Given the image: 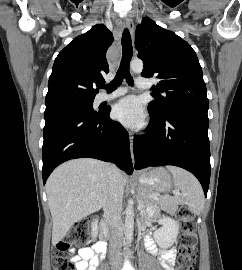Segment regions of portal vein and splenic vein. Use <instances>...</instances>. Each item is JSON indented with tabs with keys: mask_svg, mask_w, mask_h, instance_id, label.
<instances>
[{
	"mask_svg": "<svg viewBox=\"0 0 242 270\" xmlns=\"http://www.w3.org/2000/svg\"><path fill=\"white\" fill-rule=\"evenodd\" d=\"M142 208H143V205L139 204L138 209H142Z\"/></svg>",
	"mask_w": 242,
	"mask_h": 270,
	"instance_id": "portal-vein-and-splenic-vein-1",
	"label": "portal vein and splenic vein"
}]
</instances>
